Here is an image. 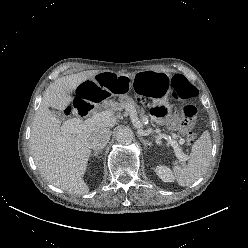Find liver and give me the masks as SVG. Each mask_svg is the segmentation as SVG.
I'll return each mask as SVG.
<instances>
[{
    "mask_svg": "<svg viewBox=\"0 0 248 248\" xmlns=\"http://www.w3.org/2000/svg\"><path fill=\"white\" fill-rule=\"evenodd\" d=\"M98 73L99 70H88L53 82L46 89L31 126V154L41 175L50 184L72 194L89 192L83 180L91 153L89 138L98 129L114 127L116 117L111 116L76 133H69L62 131L61 121L49 107L63 111L73 100V91Z\"/></svg>",
    "mask_w": 248,
    "mask_h": 248,
    "instance_id": "1",
    "label": "liver"
}]
</instances>
